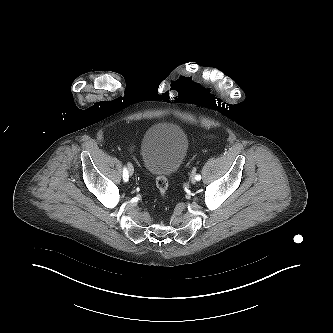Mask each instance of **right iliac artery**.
<instances>
[{"mask_svg": "<svg viewBox=\"0 0 333 333\" xmlns=\"http://www.w3.org/2000/svg\"><path fill=\"white\" fill-rule=\"evenodd\" d=\"M129 179V172H128V169L126 167L123 168V180L125 182H127Z\"/></svg>", "mask_w": 333, "mask_h": 333, "instance_id": "82829eb1", "label": "right iliac artery"}]
</instances>
